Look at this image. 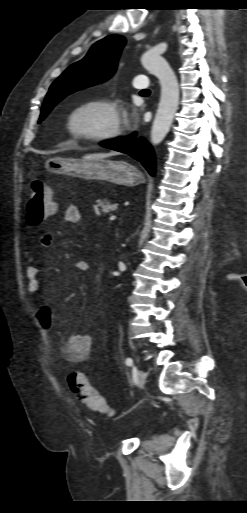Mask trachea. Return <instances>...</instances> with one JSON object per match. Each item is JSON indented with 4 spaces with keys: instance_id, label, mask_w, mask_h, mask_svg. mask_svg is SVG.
I'll list each match as a JSON object with an SVG mask.
<instances>
[{
    "instance_id": "1",
    "label": "trachea",
    "mask_w": 247,
    "mask_h": 513,
    "mask_svg": "<svg viewBox=\"0 0 247 513\" xmlns=\"http://www.w3.org/2000/svg\"><path fill=\"white\" fill-rule=\"evenodd\" d=\"M141 93H150V90H148V89L142 90ZM244 280L247 281V277H244Z\"/></svg>"
}]
</instances>
